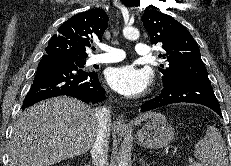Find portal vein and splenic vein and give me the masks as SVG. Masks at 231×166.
Instances as JSON below:
<instances>
[{
    "mask_svg": "<svg viewBox=\"0 0 231 166\" xmlns=\"http://www.w3.org/2000/svg\"><path fill=\"white\" fill-rule=\"evenodd\" d=\"M189 166H199V164L191 162V165H189Z\"/></svg>",
    "mask_w": 231,
    "mask_h": 166,
    "instance_id": "1",
    "label": "portal vein and splenic vein"
}]
</instances>
